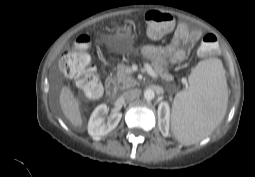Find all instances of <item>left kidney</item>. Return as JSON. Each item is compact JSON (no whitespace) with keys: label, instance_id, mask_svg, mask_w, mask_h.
I'll use <instances>...</instances> for the list:
<instances>
[{"label":"left kidney","instance_id":"left-kidney-1","mask_svg":"<svg viewBox=\"0 0 255 177\" xmlns=\"http://www.w3.org/2000/svg\"><path fill=\"white\" fill-rule=\"evenodd\" d=\"M158 118L159 125L163 128L165 134L168 133L169 119H170V108L167 102L160 103L158 107Z\"/></svg>","mask_w":255,"mask_h":177}]
</instances>
